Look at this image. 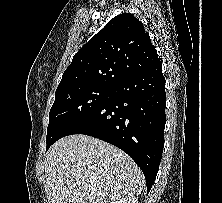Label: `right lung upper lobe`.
<instances>
[{"label":"right lung upper lobe","instance_id":"1","mask_svg":"<svg viewBox=\"0 0 222 203\" xmlns=\"http://www.w3.org/2000/svg\"><path fill=\"white\" fill-rule=\"evenodd\" d=\"M155 59L157 51L142 22L130 13L120 14L74 55L56 91L84 85L112 87Z\"/></svg>","mask_w":222,"mask_h":203}]
</instances>
